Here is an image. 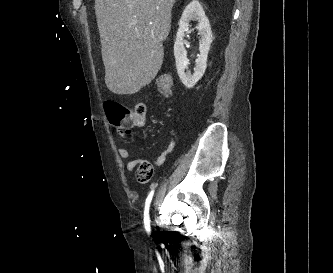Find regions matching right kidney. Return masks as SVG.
Here are the masks:
<instances>
[{
	"mask_svg": "<svg viewBox=\"0 0 333 273\" xmlns=\"http://www.w3.org/2000/svg\"><path fill=\"white\" fill-rule=\"evenodd\" d=\"M198 21L196 29L201 36L199 51L200 55L195 60L194 73L191 74L187 71L189 60L187 59V52L184 47V33L189 29V22ZM213 36L208 18L201 4L193 0L184 9L181 19L179 21V29L176 34L174 43V56L176 60V69L181 82L187 88H193L195 84L202 78L207 67V56L212 43Z\"/></svg>",
	"mask_w": 333,
	"mask_h": 273,
	"instance_id": "obj_1",
	"label": "right kidney"
}]
</instances>
